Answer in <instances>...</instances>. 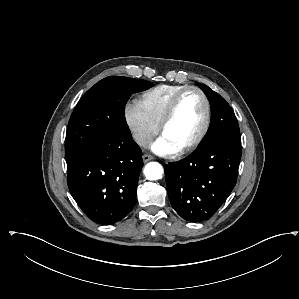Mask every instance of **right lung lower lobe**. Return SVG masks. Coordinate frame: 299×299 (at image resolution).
I'll return each instance as SVG.
<instances>
[{
	"label": "right lung lower lobe",
	"instance_id": "obj_1",
	"mask_svg": "<svg viewBox=\"0 0 299 299\" xmlns=\"http://www.w3.org/2000/svg\"><path fill=\"white\" fill-rule=\"evenodd\" d=\"M142 152L130 138L104 142L67 166L70 193L93 221L113 224L134 205Z\"/></svg>",
	"mask_w": 299,
	"mask_h": 299
}]
</instances>
